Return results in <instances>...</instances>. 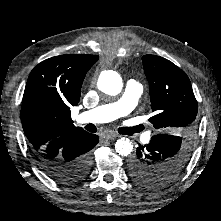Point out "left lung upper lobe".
Masks as SVG:
<instances>
[{
  "mask_svg": "<svg viewBox=\"0 0 221 221\" xmlns=\"http://www.w3.org/2000/svg\"><path fill=\"white\" fill-rule=\"evenodd\" d=\"M142 62L154 112L149 122L172 139L164 143L160 173L141 174L139 182L160 187L178 177L190 160L197 133L198 104L188 76L175 64L156 55H145Z\"/></svg>",
  "mask_w": 221,
  "mask_h": 221,
  "instance_id": "left-lung-upper-lobe-1",
  "label": "left lung upper lobe"
}]
</instances>
